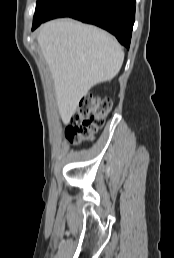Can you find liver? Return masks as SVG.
<instances>
[{"instance_id":"1","label":"liver","mask_w":174,"mask_h":258,"mask_svg":"<svg viewBox=\"0 0 174 258\" xmlns=\"http://www.w3.org/2000/svg\"><path fill=\"white\" fill-rule=\"evenodd\" d=\"M38 44L51 71L59 114L67 123L96 84L119 72L124 52L107 32L72 19L43 24Z\"/></svg>"}]
</instances>
